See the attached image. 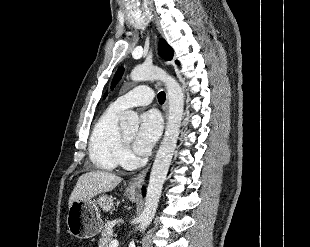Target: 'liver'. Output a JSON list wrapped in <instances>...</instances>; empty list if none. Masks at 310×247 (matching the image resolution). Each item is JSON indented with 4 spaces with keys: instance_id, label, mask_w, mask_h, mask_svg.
<instances>
[{
    "instance_id": "liver-1",
    "label": "liver",
    "mask_w": 310,
    "mask_h": 247,
    "mask_svg": "<svg viewBox=\"0 0 310 247\" xmlns=\"http://www.w3.org/2000/svg\"><path fill=\"white\" fill-rule=\"evenodd\" d=\"M122 178L105 171H90L81 175L69 197V206L76 200H90L94 196L112 191Z\"/></svg>"
}]
</instances>
